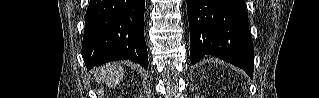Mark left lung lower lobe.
<instances>
[{
    "label": "left lung lower lobe",
    "instance_id": "obj_1",
    "mask_svg": "<svg viewBox=\"0 0 319 98\" xmlns=\"http://www.w3.org/2000/svg\"><path fill=\"white\" fill-rule=\"evenodd\" d=\"M191 63L213 55L253 77L254 49L244 0H187Z\"/></svg>",
    "mask_w": 319,
    "mask_h": 98
}]
</instances>
